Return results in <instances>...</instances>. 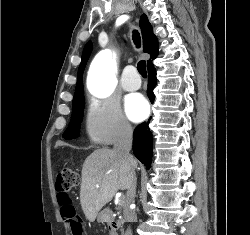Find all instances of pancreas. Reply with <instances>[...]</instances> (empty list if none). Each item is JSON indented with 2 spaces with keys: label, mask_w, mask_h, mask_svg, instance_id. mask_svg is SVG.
<instances>
[{
  "label": "pancreas",
  "mask_w": 250,
  "mask_h": 235,
  "mask_svg": "<svg viewBox=\"0 0 250 235\" xmlns=\"http://www.w3.org/2000/svg\"><path fill=\"white\" fill-rule=\"evenodd\" d=\"M124 205V198H121L119 201V210L121 209V207ZM120 213V211H119Z\"/></svg>",
  "instance_id": "pancreas-1"
}]
</instances>
